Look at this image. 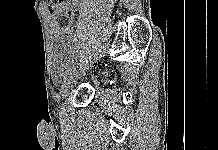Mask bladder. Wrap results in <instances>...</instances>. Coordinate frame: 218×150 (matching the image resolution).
Returning <instances> with one entry per match:
<instances>
[{
    "label": "bladder",
    "instance_id": "31cf9c89",
    "mask_svg": "<svg viewBox=\"0 0 218 150\" xmlns=\"http://www.w3.org/2000/svg\"><path fill=\"white\" fill-rule=\"evenodd\" d=\"M56 54H59L58 53V49L56 51ZM58 56V55H57ZM71 69L65 65V64H58L55 69H54V75L55 77L58 79V80H61L63 81V84L64 82H66L67 80H70L71 78ZM62 84V85H63Z\"/></svg>",
    "mask_w": 218,
    "mask_h": 150
}]
</instances>
